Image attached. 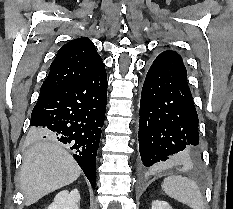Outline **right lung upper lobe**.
Masks as SVG:
<instances>
[{
    "label": "right lung upper lobe",
    "mask_w": 233,
    "mask_h": 209,
    "mask_svg": "<svg viewBox=\"0 0 233 209\" xmlns=\"http://www.w3.org/2000/svg\"><path fill=\"white\" fill-rule=\"evenodd\" d=\"M103 65L92 41L88 38L71 40L59 49L51 63L40 96L75 83Z\"/></svg>",
    "instance_id": "right-lung-upper-lobe-1"
}]
</instances>
